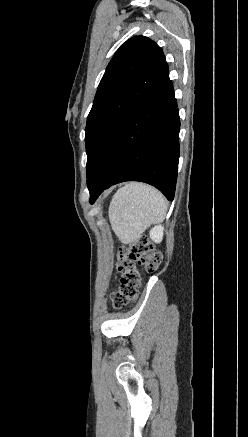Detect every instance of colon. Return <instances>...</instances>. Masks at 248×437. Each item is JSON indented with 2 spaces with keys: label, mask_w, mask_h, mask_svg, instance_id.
Returning <instances> with one entry per match:
<instances>
[{
  "label": "colon",
  "mask_w": 248,
  "mask_h": 437,
  "mask_svg": "<svg viewBox=\"0 0 248 437\" xmlns=\"http://www.w3.org/2000/svg\"><path fill=\"white\" fill-rule=\"evenodd\" d=\"M161 262V253L148 240L138 239L120 247L117 252V266L121 272L120 285L111 296L114 308H123L136 298L142 282L138 266L147 272H154Z\"/></svg>",
  "instance_id": "5ec220e1"
}]
</instances>
